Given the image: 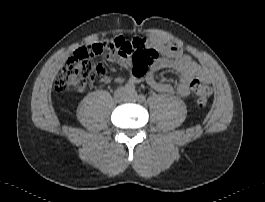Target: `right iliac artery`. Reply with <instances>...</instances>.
<instances>
[{"mask_svg":"<svg viewBox=\"0 0 265 202\" xmlns=\"http://www.w3.org/2000/svg\"><path fill=\"white\" fill-rule=\"evenodd\" d=\"M124 88L128 93H135V85L130 81L125 84Z\"/></svg>","mask_w":265,"mask_h":202,"instance_id":"1","label":"right iliac artery"}]
</instances>
